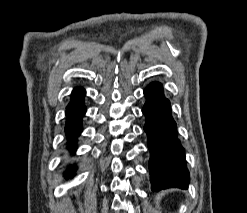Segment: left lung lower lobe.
<instances>
[{"instance_id": "1", "label": "left lung lower lobe", "mask_w": 247, "mask_h": 213, "mask_svg": "<svg viewBox=\"0 0 247 213\" xmlns=\"http://www.w3.org/2000/svg\"><path fill=\"white\" fill-rule=\"evenodd\" d=\"M144 94L146 103L142 112L146 116L144 131L148 136L151 154L149 160L151 188L153 191L169 187L186 189L190 180L189 172L185 164L184 149L177 138L170 103L164 97L159 82L149 84Z\"/></svg>"}]
</instances>
